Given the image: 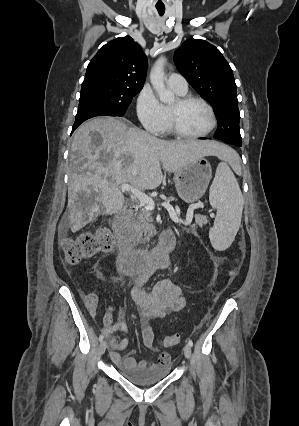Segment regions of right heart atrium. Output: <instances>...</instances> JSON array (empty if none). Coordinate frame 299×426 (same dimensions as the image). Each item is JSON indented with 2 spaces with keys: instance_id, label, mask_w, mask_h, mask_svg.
Listing matches in <instances>:
<instances>
[{
  "instance_id": "right-heart-atrium-1",
  "label": "right heart atrium",
  "mask_w": 299,
  "mask_h": 426,
  "mask_svg": "<svg viewBox=\"0 0 299 426\" xmlns=\"http://www.w3.org/2000/svg\"><path fill=\"white\" fill-rule=\"evenodd\" d=\"M136 113L142 126L152 134H161L165 130L166 116L152 88L145 85L136 99Z\"/></svg>"
}]
</instances>
